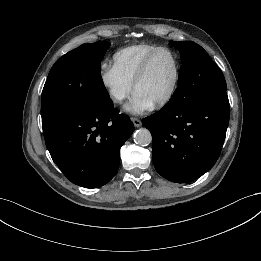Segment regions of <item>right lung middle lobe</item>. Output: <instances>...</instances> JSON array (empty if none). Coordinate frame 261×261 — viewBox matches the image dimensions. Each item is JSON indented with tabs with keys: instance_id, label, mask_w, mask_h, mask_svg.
<instances>
[{
	"instance_id": "obj_1",
	"label": "right lung middle lobe",
	"mask_w": 261,
	"mask_h": 261,
	"mask_svg": "<svg viewBox=\"0 0 261 261\" xmlns=\"http://www.w3.org/2000/svg\"><path fill=\"white\" fill-rule=\"evenodd\" d=\"M109 46L105 41L83 44L55 62L42 91L44 131L72 116L103 110L111 103L100 63Z\"/></svg>"
}]
</instances>
